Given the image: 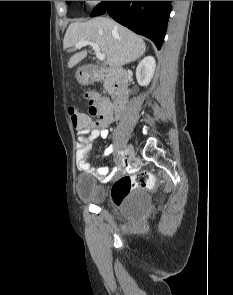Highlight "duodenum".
<instances>
[{"mask_svg":"<svg viewBox=\"0 0 233 295\" xmlns=\"http://www.w3.org/2000/svg\"><path fill=\"white\" fill-rule=\"evenodd\" d=\"M89 77L94 80H110L115 114L119 115L124 110L128 100L126 73L121 69L93 68L89 71Z\"/></svg>","mask_w":233,"mask_h":295,"instance_id":"duodenum-1","label":"duodenum"}]
</instances>
